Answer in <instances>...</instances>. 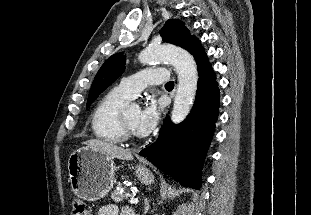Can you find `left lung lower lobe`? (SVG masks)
<instances>
[{
    "instance_id": "left-lung-lower-lobe-1",
    "label": "left lung lower lobe",
    "mask_w": 311,
    "mask_h": 215,
    "mask_svg": "<svg viewBox=\"0 0 311 215\" xmlns=\"http://www.w3.org/2000/svg\"><path fill=\"white\" fill-rule=\"evenodd\" d=\"M187 50L196 60L199 75L193 108L178 125L166 118L157 141L140 155L184 186L199 189L202 163L219 113V89L200 42L195 39Z\"/></svg>"
}]
</instances>
